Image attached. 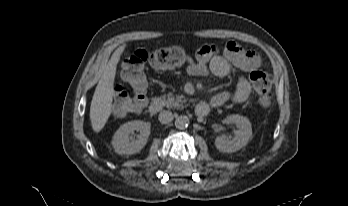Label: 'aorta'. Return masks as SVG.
Listing matches in <instances>:
<instances>
[{
    "instance_id": "762f6f07",
    "label": "aorta",
    "mask_w": 348,
    "mask_h": 206,
    "mask_svg": "<svg viewBox=\"0 0 348 206\" xmlns=\"http://www.w3.org/2000/svg\"><path fill=\"white\" fill-rule=\"evenodd\" d=\"M190 121L187 116H178L175 120V127L180 130H184L188 127Z\"/></svg>"
}]
</instances>
